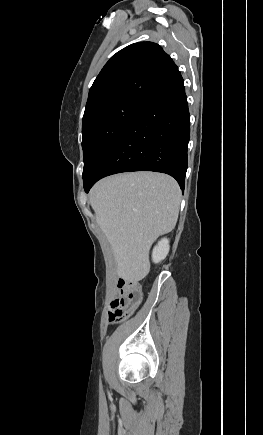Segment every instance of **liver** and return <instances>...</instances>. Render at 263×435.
<instances>
[{"mask_svg": "<svg viewBox=\"0 0 263 435\" xmlns=\"http://www.w3.org/2000/svg\"><path fill=\"white\" fill-rule=\"evenodd\" d=\"M89 201L112 247L118 277L145 278L152 244L177 223L181 191L176 180L154 172L118 174L96 183Z\"/></svg>", "mask_w": 263, "mask_h": 435, "instance_id": "6515ba94", "label": "liver"}]
</instances>
